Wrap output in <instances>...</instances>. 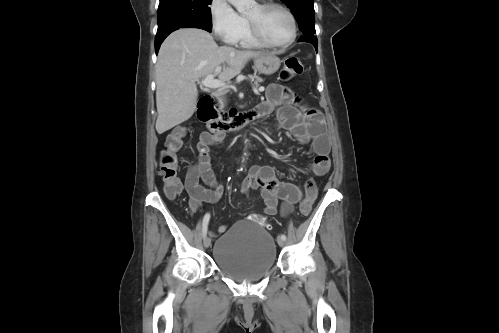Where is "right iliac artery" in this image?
<instances>
[{"label":"right iliac artery","mask_w":499,"mask_h":333,"mask_svg":"<svg viewBox=\"0 0 499 333\" xmlns=\"http://www.w3.org/2000/svg\"><path fill=\"white\" fill-rule=\"evenodd\" d=\"M209 219H210V214L207 213L204 218H203V224H202V234H203V237L205 238L206 235H207V229H208V222H209Z\"/></svg>","instance_id":"right-iliac-artery-1"}]
</instances>
